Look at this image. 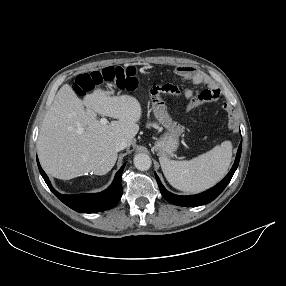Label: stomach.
Wrapping results in <instances>:
<instances>
[{
    "label": "stomach",
    "mask_w": 286,
    "mask_h": 286,
    "mask_svg": "<svg viewBox=\"0 0 286 286\" xmlns=\"http://www.w3.org/2000/svg\"><path fill=\"white\" fill-rule=\"evenodd\" d=\"M167 111V110H166ZM179 146V139L171 133H164L155 144L156 151L162 156L172 155Z\"/></svg>",
    "instance_id": "1"
}]
</instances>
